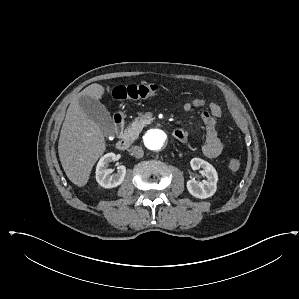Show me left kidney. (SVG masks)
<instances>
[{
	"label": "left kidney",
	"instance_id": "1",
	"mask_svg": "<svg viewBox=\"0 0 299 299\" xmlns=\"http://www.w3.org/2000/svg\"><path fill=\"white\" fill-rule=\"evenodd\" d=\"M193 170L202 169L207 180L197 182L195 179L187 181L189 193L199 199H206L214 195L217 189L218 174L215 168L200 158H193L190 161Z\"/></svg>",
	"mask_w": 299,
	"mask_h": 299
}]
</instances>
